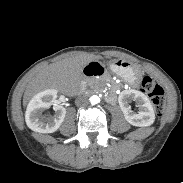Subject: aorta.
Masks as SVG:
<instances>
[{"instance_id": "1", "label": "aorta", "mask_w": 183, "mask_h": 183, "mask_svg": "<svg viewBox=\"0 0 183 183\" xmlns=\"http://www.w3.org/2000/svg\"><path fill=\"white\" fill-rule=\"evenodd\" d=\"M91 104H98L100 102V98L97 95H93L90 97Z\"/></svg>"}]
</instances>
